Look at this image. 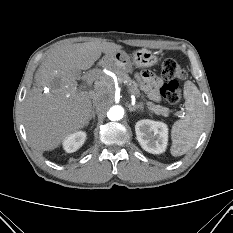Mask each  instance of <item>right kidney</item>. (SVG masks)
Wrapping results in <instances>:
<instances>
[{
  "instance_id": "right-kidney-1",
  "label": "right kidney",
  "mask_w": 233,
  "mask_h": 233,
  "mask_svg": "<svg viewBox=\"0 0 233 233\" xmlns=\"http://www.w3.org/2000/svg\"><path fill=\"white\" fill-rule=\"evenodd\" d=\"M86 133L78 131L68 135L63 141V148L67 153L77 151L85 142Z\"/></svg>"
}]
</instances>
